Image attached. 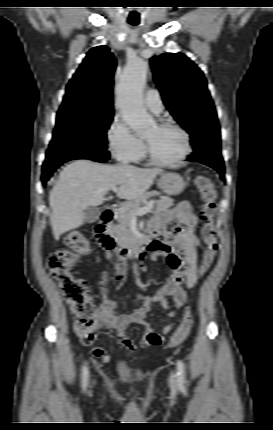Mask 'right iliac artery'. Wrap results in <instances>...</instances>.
<instances>
[{"mask_svg":"<svg viewBox=\"0 0 273 430\" xmlns=\"http://www.w3.org/2000/svg\"><path fill=\"white\" fill-rule=\"evenodd\" d=\"M88 377H89V371L87 366L85 365L83 367V371H82V387L85 388L88 384Z\"/></svg>","mask_w":273,"mask_h":430,"instance_id":"obj_1","label":"right iliac artery"}]
</instances>
